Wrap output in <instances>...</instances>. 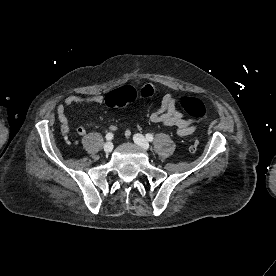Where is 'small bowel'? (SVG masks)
I'll return each instance as SVG.
<instances>
[{
	"mask_svg": "<svg viewBox=\"0 0 276 276\" xmlns=\"http://www.w3.org/2000/svg\"><path fill=\"white\" fill-rule=\"evenodd\" d=\"M152 85L157 92V87ZM179 96L173 92L165 93L160 102V107L157 111L153 112L150 115V120L153 123H158L168 127H174L176 129V134L179 137H186L193 134L199 123L198 120L189 119L184 116L181 110L178 108ZM104 100L102 95L93 94L89 96H81V95H71L68 96L62 103H60L57 107V116L62 124L67 123L66 118V109L73 104H100ZM87 126H92V123L89 122ZM87 126H78L77 133L79 135H85L87 131ZM111 130H116V126H111ZM125 138H130L131 132L129 130L124 131Z\"/></svg>",
	"mask_w": 276,
	"mask_h": 276,
	"instance_id": "c3829d8e",
	"label": "small bowel"
}]
</instances>
